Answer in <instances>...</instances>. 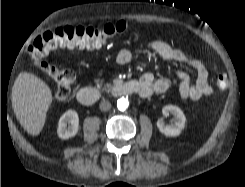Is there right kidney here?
I'll return each instance as SVG.
<instances>
[{
    "label": "right kidney",
    "mask_w": 245,
    "mask_h": 187,
    "mask_svg": "<svg viewBox=\"0 0 245 187\" xmlns=\"http://www.w3.org/2000/svg\"><path fill=\"white\" fill-rule=\"evenodd\" d=\"M79 129V117L75 110L66 111L59 119L57 134L61 139L74 137Z\"/></svg>",
    "instance_id": "obj_1"
}]
</instances>
